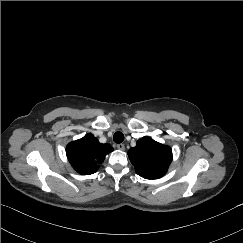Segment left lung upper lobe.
Listing matches in <instances>:
<instances>
[{
	"mask_svg": "<svg viewBox=\"0 0 243 243\" xmlns=\"http://www.w3.org/2000/svg\"><path fill=\"white\" fill-rule=\"evenodd\" d=\"M128 156L136 173L146 179L162 177L172 161L171 148L148 136L139 139L128 151Z\"/></svg>",
	"mask_w": 243,
	"mask_h": 243,
	"instance_id": "1",
	"label": "left lung upper lobe"
}]
</instances>
